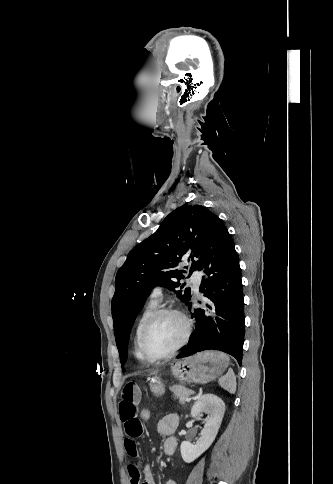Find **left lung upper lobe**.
Instances as JSON below:
<instances>
[{
	"mask_svg": "<svg viewBox=\"0 0 333 484\" xmlns=\"http://www.w3.org/2000/svg\"><path fill=\"white\" fill-rule=\"evenodd\" d=\"M216 217L203 206L185 204L171 212L153 235L129 252L116 274L112 298L115 339L122 365L126 361L130 328L155 286H165L181 301H190V288L183 290L184 284L179 282L187 273L179 268V263L188 257L192 261L190 274L194 271Z\"/></svg>",
	"mask_w": 333,
	"mask_h": 484,
	"instance_id": "5c2ea615",
	"label": "left lung upper lobe"
}]
</instances>
